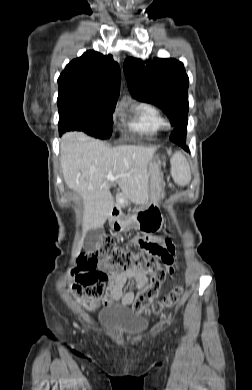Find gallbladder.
<instances>
[{
  "instance_id": "bac80fb5",
  "label": "gallbladder",
  "mask_w": 252,
  "mask_h": 390,
  "mask_svg": "<svg viewBox=\"0 0 252 390\" xmlns=\"http://www.w3.org/2000/svg\"><path fill=\"white\" fill-rule=\"evenodd\" d=\"M101 232L102 227L89 230L86 234V243L88 244V241L95 240Z\"/></svg>"
}]
</instances>
